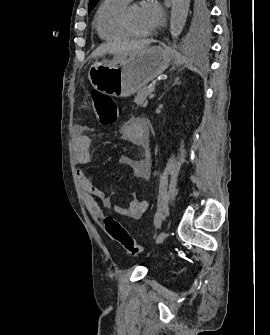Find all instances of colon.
<instances>
[{
	"label": "colon",
	"instance_id": "obj_1",
	"mask_svg": "<svg viewBox=\"0 0 270 335\" xmlns=\"http://www.w3.org/2000/svg\"><path fill=\"white\" fill-rule=\"evenodd\" d=\"M90 99L94 112L103 126H111L116 122L118 111L112 97L99 90H91ZM104 224L108 236L128 254L132 256L141 254V246L134 241L126 227L116 216L108 215L104 219Z\"/></svg>",
	"mask_w": 270,
	"mask_h": 335
}]
</instances>
